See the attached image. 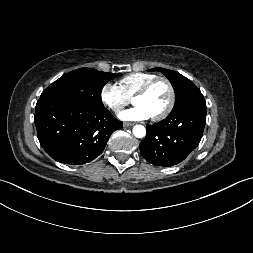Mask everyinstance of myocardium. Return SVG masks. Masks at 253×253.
I'll return each instance as SVG.
<instances>
[{
	"label": "myocardium",
	"mask_w": 253,
	"mask_h": 253,
	"mask_svg": "<svg viewBox=\"0 0 253 253\" xmlns=\"http://www.w3.org/2000/svg\"><path fill=\"white\" fill-rule=\"evenodd\" d=\"M160 81L164 82L167 85V87L169 89V93H170V98H169V102H168L166 108L158 115L151 117V120L155 121V122L165 119L174 108L175 101H176V92H175V88H174L172 82L167 77H164V76L155 77L154 79L147 82L142 88H140L133 96V100H134L136 97L146 95L150 91V89L157 82H160Z\"/></svg>",
	"instance_id": "myocardium-1"
}]
</instances>
